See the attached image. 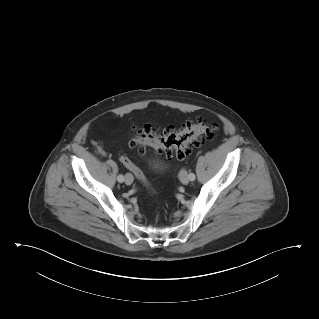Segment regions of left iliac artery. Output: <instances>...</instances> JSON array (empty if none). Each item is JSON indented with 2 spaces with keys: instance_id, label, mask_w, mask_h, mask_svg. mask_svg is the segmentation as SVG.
I'll list each match as a JSON object with an SVG mask.
<instances>
[{
  "instance_id": "1",
  "label": "left iliac artery",
  "mask_w": 319,
  "mask_h": 319,
  "mask_svg": "<svg viewBox=\"0 0 319 319\" xmlns=\"http://www.w3.org/2000/svg\"><path fill=\"white\" fill-rule=\"evenodd\" d=\"M189 180L190 181H194L195 180V174L194 173H190L189 174Z\"/></svg>"
}]
</instances>
